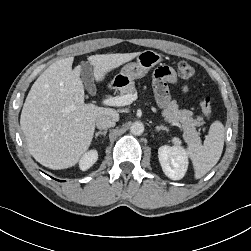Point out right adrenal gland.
<instances>
[{"instance_id":"right-adrenal-gland-1","label":"right adrenal gland","mask_w":251,"mask_h":251,"mask_svg":"<svg viewBox=\"0 0 251 251\" xmlns=\"http://www.w3.org/2000/svg\"><path fill=\"white\" fill-rule=\"evenodd\" d=\"M106 134H107V130L98 131V132L95 133V139H97V137H98L99 135H103V136L105 137Z\"/></svg>"}]
</instances>
